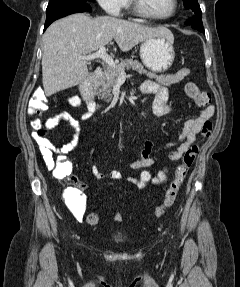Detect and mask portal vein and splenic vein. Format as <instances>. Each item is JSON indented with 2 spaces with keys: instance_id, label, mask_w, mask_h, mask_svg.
<instances>
[{
  "instance_id": "obj_1",
  "label": "portal vein and splenic vein",
  "mask_w": 240,
  "mask_h": 287,
  "mask_svg": "<svg viewBox=\"0 0 240 287\" xmlns=\"http://www.w3.org/2000/svg\"><path fill=\"white\" fill-rule=\"evenodd\" d=\"M78 58L83 59L85 61H89L95 58H99L102 59L105 63L108 64V66L111 67H115L116 64L114 62V60L112 59V57L110 55H108V53L106 52V47L105 46H101L98 51L91 53L89 55H85V56H78ZM121 77H126V73L124 70H121L120 75Z\"/></svg>"
}]
</instances>
